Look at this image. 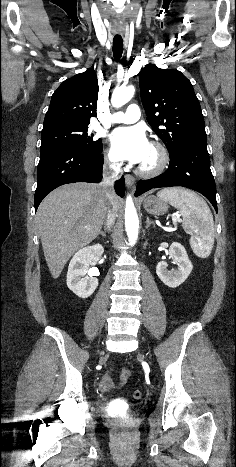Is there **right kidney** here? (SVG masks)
<instances>
[{
    "label": "right kidney",
    "mask_w": 236,
    "mask_h": 467,
    "mask_svg": "<svg viewBox=\"0 0 236 467\" xmlns=\"http://www.w3.org/2000/svg\"><path fill=\"white\" fill-rule=\"evenodd\" d=\"M104 248L100 244L85 247L75 253L71 259L67 272V286L78 297L88 298L98 286V275L95 269H88L93 265L97 256L102 255Z\"/></svg>",
    "instance_id": "ca27d5eb"
}]
</instances>
